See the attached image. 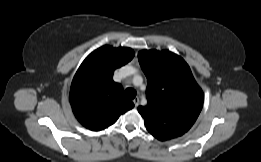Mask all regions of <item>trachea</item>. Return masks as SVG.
Here are the masks:
<instances>
[{"label":"trachea","instance_id":"1","mask_svg":"<svg viewBox=\"0 0 261 162\" xmlns=\"http://www.w3.org/2000/svg\"><path fill=\"white\" fill-rule=\"evenodd\" d=\"M124 95H125V98H127L128 100H132L136 96V91L134 89H132V88H127L125 90Z\"/></svg>","mask_w":261,"mask_h":162}]
</instances>
